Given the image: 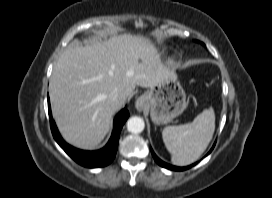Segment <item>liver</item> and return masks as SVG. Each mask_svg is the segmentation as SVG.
<instances>
[{
  "label": "liver",
  "mask_w": 272,
  "mask_h": 198,
  "mask_svg": "<svg viewBox=\"0 0 272 198\" xmlns=\"http://www.w3.org/2000/svg\"><path fill=\"white\" fill-rule=\"evenodd\" d=\"M168 74L154 44L141 35L121 34L66 49L50 81L52 113L61 135L78 148L96 147L135 87L153 88ZM115 89L117 102L109 98Z\"/></svg>",
  "instance_id": "1"
}]
</instances>
